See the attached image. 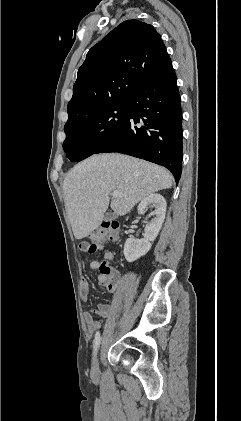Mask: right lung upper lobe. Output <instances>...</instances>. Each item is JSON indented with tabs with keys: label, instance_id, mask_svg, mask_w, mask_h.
Masks as SVG:
<instances>
[{
	"label": "right lung upper lobe",
	"instance_id": "obj_1",
	"mask_svg": "<svg viewBox=\"0 0 241 421\" xmlns=\"http://www.w3.org/2000/svg\"><path fill=\"white\" fill-rule=\"evenodd\" d=\"M168 57L152 25L139 20L121 23L87 53L68 103L65 127L112 104L129 100Z\"/></svg>",
	"mask_w": 241,
	"mask_h": 421
}]
</instances>
